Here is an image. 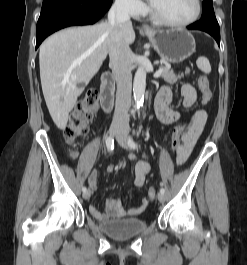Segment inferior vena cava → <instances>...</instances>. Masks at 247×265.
I'll return each instance as SVG.
<instances>
[{
  "label": "inferior vena cava",
  "instance_id": "602c4592",
  "mask_svg": "<svg viewBox=\"0 0 247 265\" xmlns=\"http://www.w3.org/2000/svg\"><path fill=\"white\" fill-rule=\"evenodd\" d=\"M110 26L109 66L117 83L116 105L113 124L129 128L128 109L131 105L132 51L123 39L122 31L132 27L129 16V2L116 0L108 13Z\"/></svg>",
  "mask_w": 247,
  "mask_h": 265
}]
</instances>
